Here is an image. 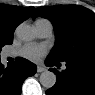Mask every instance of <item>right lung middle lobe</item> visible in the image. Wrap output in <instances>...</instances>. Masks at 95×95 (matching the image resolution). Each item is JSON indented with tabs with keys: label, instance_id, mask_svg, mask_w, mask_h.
I'll list each match as a JSON object with an SVG mask.
<instances>
[{
	"label": "right lung middle lobe",
	"instance_id": "obj_1",
	"mask_svg": "<svg viewBox=\"0 0 95 95\" xmlns=\"http://www.w3.org/2000/svg\"><path fill=\"white\" fill-rule=\"evenodd\" d=\"M10 44H11V43H10ZM3 45H5V44H0V48L3 47ZM0 51H1V49H0Z\"/></svg>",
	"mask_w": 95,
	"mask_h": 95
}]
</instances>
